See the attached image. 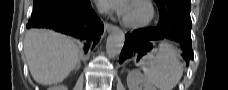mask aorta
<instances>
[{
  "mask_svg": "<svg viewBox=\"0 0 228 90\" xmlns=\"http://www.w3.org/2000/svg\"><path fill=\"white\" fill-rule=\"evenodd\" d=\"M125 41V35L122 30H114L107 38L106 52L109 57H116L120 54Z\"/></svg>",
  "mask_w": 228,
  "mask_h": 90,
  "instance_id": "aorta-1",
  "label": "aorta"
}]
</instances>
